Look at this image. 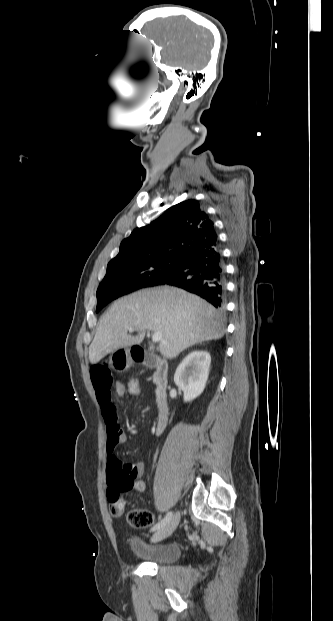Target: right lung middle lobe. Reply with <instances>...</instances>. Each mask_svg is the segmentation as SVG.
<instances>
[{
  "instance_id": "right-lung-middle-lobe-1",
  "label": "right lung middle lobe",
  "mask_w": 333,
  "mask_h": 621,
  "mask_svg": "<svg viewBox=\"0 0 333 621\" xmlns=\"http://www.w3.org/2000/svg\"><path fill=\"white\" fill-rule=\"evenodd\" d=\"M181 264L182 258L168 256L108 265L97 290L96 312L120 296L161 284L176 273Z\"/></svg>"
}]
</instances>
